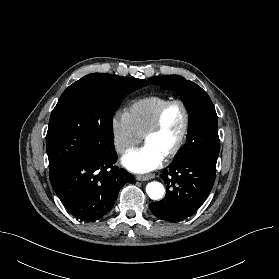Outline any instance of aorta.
<instances>
[{
	"label": "aorta",
	"instance_id": "aorta-1",
	"mask_svg": "<svg viewBox=\"0 0 279 279\" xmlns=\"http://www.w3.org/2000/svg\"><path fill=\"white\" fill-rule=\"evenodd\" d=\"M146 192L150 199L152 200H158L161 199L164 196V186L157 181H152L147 184L146 186Z\"/></svg>",
	"mask_w": 279,
	"mask_h": 279
}]
</instances>
